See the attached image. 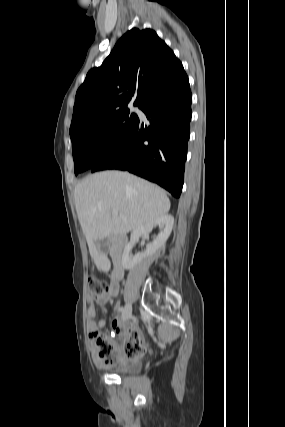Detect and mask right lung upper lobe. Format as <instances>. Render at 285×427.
<instances>
[{
	"instance_id": "1",
	"label": "right lung upper lobe",
	"mask_w": 285,
	"mask_h": 427,
	"mask_svg": "<svg viewBox=\"0 0 285 427\" xmlns=\"http://www.w3.org/2000/svg\"><path fill=\"white\" fill-rule=\"evenodd\" d=\"M183 68L151 29L133 28L116 43L100 67L91 69L76 93L70 133L131 101L139 104L155 85Z\"/></svg>"
}]
</instances>
